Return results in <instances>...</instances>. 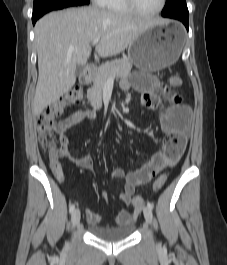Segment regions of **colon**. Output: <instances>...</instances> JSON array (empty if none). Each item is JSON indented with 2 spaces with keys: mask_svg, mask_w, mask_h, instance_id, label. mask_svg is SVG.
Masks as SVG:
<instances>
[{
  "mask_svg": "<svg viewBox=\"0 0 227 265\" xmlns=\"http://www.w3.org/2000/svg\"><path fill=\"white\" fill-rule=\"evenodd\" d=\"M170 84L174 87H180L183 84V80L179 75H172L170 77ZM81 88L79 86L74 87L63 97L59 98L51 105L46 107L37 117V127L39 130V140L43 147L52 149L53 146V127L55 118L63 112V110L77 103L81 98ZM166 175H160L155 183L154 189L160 190L165 182ZM133 205L136 209H140L143 205V200L141 197L136 196L133 198Z\"/></svg>",
  "mask_w": 227,
  "mask_h": 265,
  "instance_id": "obj_1",
  "label": "colon"
}]
</instances>
